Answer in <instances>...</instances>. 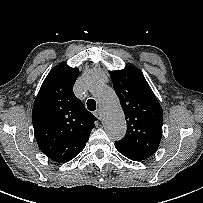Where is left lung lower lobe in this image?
<instances>
[{"instance_id":"left-lung-lower-lobe-1","label":"left lung lower lobe","mask_w":203,"mask_h":203,"mask_svg":"<svg viewBox=\"0 0 203 203\" xmlns=\"http://www.w3.org/2000/svg\"><path fill=\"white\" fill-rule=\"evenodd\" d=\"M115 147L122 155L133 161H142L149 158V156L136 152L129 147L118 143L117 141L115 142Z\"/></svg>"}]
</instances>
